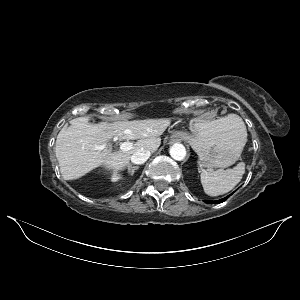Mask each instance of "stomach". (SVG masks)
<instances>
[{
  "label": "stomach",
  "instance_id": "0dacf381",
  "mask_svg": "<svg viewBox=\"0 0 300 300\" xmlns=\"http://www.w3.org/2000/svg\"><path fill=\"white\" fill-rule=\"evenodd\" d=\"M174 137L188 141L198 155L199 166L208 169L234 164L246 144L243 134L226 117L212 121L193 119L191 133L177 132Z\"/></svg>",
  "mask_w": 300,
  "mask_h": 300
}]
</instances>
